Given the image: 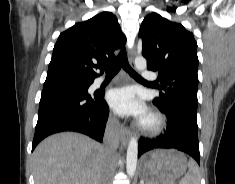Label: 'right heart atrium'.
<instances>
[{
	"label": "right heart atrium",
	"mask_w": 235,
	"mask_h": 184,
	"mask_svg": "<svg viewBox=\"0 0 235 184\" xmlns=\"http://www.w3.org/2000/svg\"><path fill=\"white\" fill-rule=\"evenodd\" d=\"M112 127H113L114 129H116V126H115V125H112Z\"/></svg>",
	"instance_id": "1"
}]
</instances>
